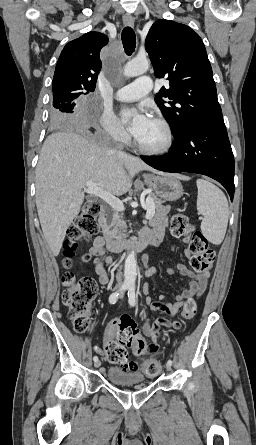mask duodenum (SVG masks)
<instances>
[{
  "label": "duodenum",
  "mask_w": 256,
  "mask_h": 445,
  "mask_svg": "<svg viewBox=\"0 0 256 445\" xmlns=\"http://www.w3.org/2000/svg\"><path fill=\"white\" fill-rule=\"evenodd\" d=\"M106 211L104 207H100L99 219L103 222ZM108 248L113 252H119L124 249H133L135 251L144 250L151 242L152 238L148 235H141L138 238H120L110 234L104 235ZM144 259H146L144 257Z\"/></svg>",
  "instance_id": "duodenum-1"
}]
</instances>
